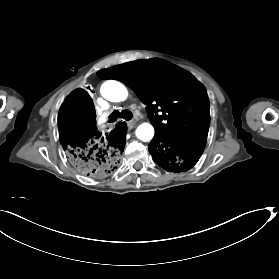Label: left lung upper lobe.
<instances>
[{
  "instance_id": "5c2ea615",
  "label": "left lung upper lobe",
  "mask_w": 279,
  "mask_h": 279,
  "mask_svg": "<svg viewBox=\"0 0 279 279\" xmlns=\"http://www.w3.org/2000/svg\"><path fill=\"white\" fill-rule=\"evenodd\" d=\"M97 75L122 81L137 94L147 105L156 136L206 143L210 125L208 96L184 71L159 59H149L104 69Z\"/></svg>"
}]
</instances>
